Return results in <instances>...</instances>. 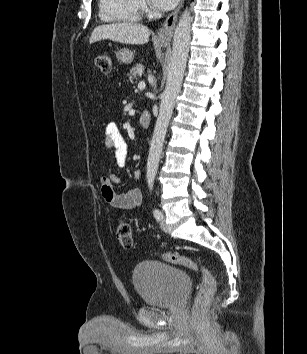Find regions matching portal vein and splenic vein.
Wrapping results in <instances>:
<instances>
[{"label":"portal vein and splenic vein","instance_id":"18ae733b","mask_svg":"<svg viewBox=\"0 0 307 354\" xmlns=\"http://www.w3.org/2000/svg\"><path fill=\"white\" fill-rule=\"evenodd\" d=\"M145 82L144 81H141V82H139V84H138V88L139 89H144L145 88Z\"/></svg>","mask_w":307,"mask_h":354}]
</instances>
